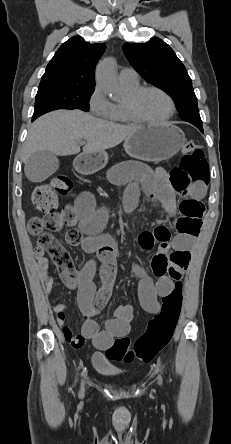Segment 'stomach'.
I'll return each mask as SVG.
<instances>
[{
    "mask_svg": "<svg viewBox=\"0 0 231 444\" xmlns=\"http://www.w3.org/2000/svg\"><path fill=\"white\" fill-rule=\"evenodd\" d=\"M186 139L180 128L172 123L142 126L124 141L126 153L135 159L155 162L174 156ZM108 162L106 152L81 154L75 160L76 169L83 174H92Z\"/></svg>",
    "mask_w": 231,
    "mask_h": 444,
    "instance_id": "obj_1",
    "label": "stomach"
}]
</instances>
